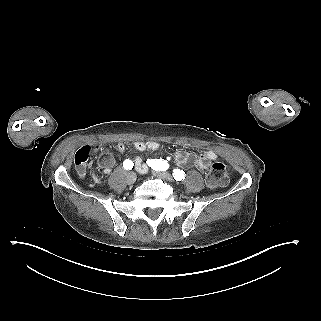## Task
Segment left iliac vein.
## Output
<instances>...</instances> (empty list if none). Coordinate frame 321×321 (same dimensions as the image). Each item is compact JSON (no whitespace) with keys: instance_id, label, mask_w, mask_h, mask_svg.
Listing matches in <instances>:
<instances>
[{"instance_id":"obj_1","label":"left iliac vein","mask_w":321,"mask_h":321,"mask_svg":"<svg viewBox=\"0 0 321 321\" xmlns=\"http://www.w3.org/2000/svg\"><path fill=\"white\" fill-rule=\"evenodd\" d=\"M153 175L156 176L157 178L160 179H164L170 182H173L174 179L171 176V174H169L168 172H164V171H152Z\"/></svg>"}]
</instances>
